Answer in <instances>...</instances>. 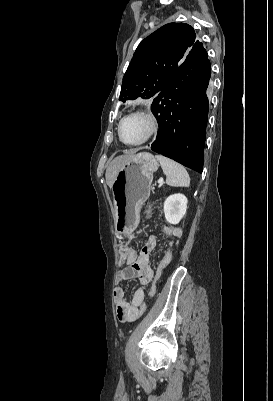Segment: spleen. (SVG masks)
<instances>
[{
    "label": "spleen",
    "instance_id": "obj_1",
    "mask_svg": "<svg viewBox=\"0 0 273 401\" xmlns=\"http://www.w3.org/2000/svg\"><path fill=\"white\" fill-rule=\"evenodd\" d=\"M155 158L159 160L163 172H165L167 176V184H170V186H189L190 176L182 164H178L175 160L166 158V156H162V154H155Z\"/></svg>",
    "mask_w": 273,
    "mask_h": 401
}]
</instances>
